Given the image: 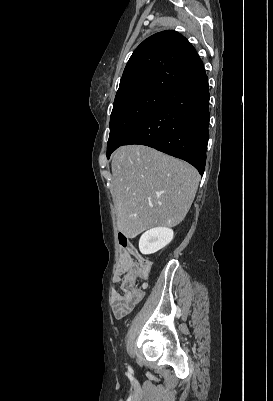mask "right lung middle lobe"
<instances>
[{
	"label": "right lung middle lobe",
	"mask_w": 273,
	"mask_h": 401,
	"mask_svg": "<svg viewBox=\"0 0 273 401\" xmlns=\"http://www.w3.org/2000/svg\"><path fill=\"white\" fill-rule=\"evenodd\" d=\"M166 94L145 91L130 94L114 101L110 117V136L107 157L120 147L129 135L164 100Z\"/></svg>",
	"instance_id": "dd1d6c3e"
}]
</instances>
